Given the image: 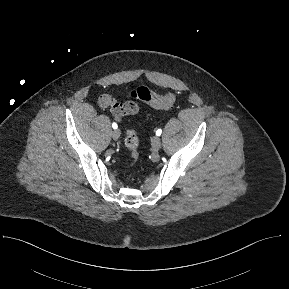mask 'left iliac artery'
<instances>
[{
  "mask_svg": "<svg viewBox=\"0 0 289 289\" xmlns=\"http://www.w3.org/2000/svg\"><path fill=\"white\" fill-rule=\"evenodd\" d=\"M161 133H162V129H158V130L156 131V135H157V136H160Z\"/></svg>",
  "mask_w": 289,
  "mask_h": 289,
  "instance_id": "obj_1",
  "label": "left iliac artery"
}]
</instances>
